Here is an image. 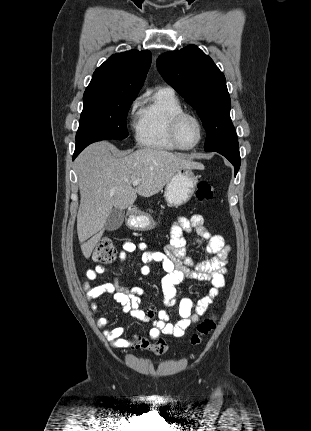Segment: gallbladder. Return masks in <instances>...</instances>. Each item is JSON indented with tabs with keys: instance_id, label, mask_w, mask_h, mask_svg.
<instances>
[{
	"instance_id": "obj_1",
	"label": "gallbladder",
	"mask_w": 311,
	"mask_h": 431,
	"mask_svg": "<svg viewBox=\"0 0 311 431\" xmlns=\"http://www.w3.org/2000/svg\"><path fill=\"white\" fill-rule=\"evenodd\" d=\"M124 217V210H117V208H114L110 216H108L106 219V229H108V231H114V229H119V227H121L124 221Z\"/></svg>"
}]
</instances>
